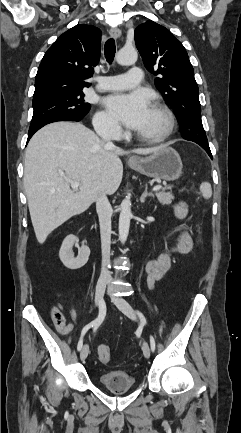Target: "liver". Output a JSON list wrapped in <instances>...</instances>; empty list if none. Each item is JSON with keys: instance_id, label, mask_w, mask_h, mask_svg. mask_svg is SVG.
Listing matches in <instances>:
<instances>
[{"instance_id": "liver-1", "label": "liver", "mask_w": 241, "mask_h": 433, "mask_svg": "<svg viewBox=\"0 0 241 433\" xmlns=\"http://www.w3.org/2000/svg\"><path fill=\"white\" fill-rule=\"evenodd\" d=\"M160 147L134 149L142 155ZM81 123L55 122L29 141L24 162V188L36 238L47 236L68 219L86 211L100 193L114 194L123 177L120 155ZM78 181L79 191L66 179Z\"/></svg>"}]
</instances>
